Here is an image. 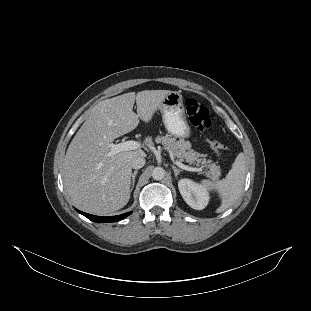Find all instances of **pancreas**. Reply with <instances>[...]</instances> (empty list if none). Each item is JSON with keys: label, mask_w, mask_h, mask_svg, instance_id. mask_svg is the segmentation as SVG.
<instances>
[{"label": "pancreas", "mask_w": 311, "mask_h": 311, "mask_svg": "<svg viewBox=\"0 0 311 311\" xmlns=\"http://www.w3.org/2000/svg\"><path fill=\"white\" fill-rule=\"evenodd\" d=\"M157 143H162L163 149L173 154L179 162L188 164H204L206 163L205 158H200L202 155L191 150V143L184 139L176 140L174 138L158 137ZM221 174L219 167L215 163H209V170L205 172L206 177H210L213 180L218 178Z\"/></svg>", "instance_id": "cf45deb5"}]
</instances>
